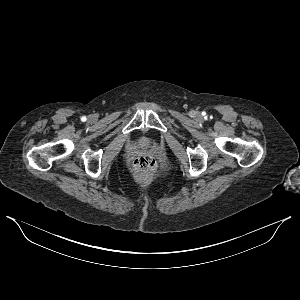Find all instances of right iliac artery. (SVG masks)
I'll return each instance as SVG.
<instances>
[{
  "label": "right iliac artery",
  "instance_id": "right-iliac-artery-1",
  "mask_svg": "<svg viewBox=\"0 0 300 300\" xmlns=\"http://www.w3.org/2000/svg\"><path fill=\"white\" fill-rule=\"evenodd\" d=\"M81 120H82V121H86V117H85V116L82 117Z\"/></svg>",
  "mask_w": 300,
  "mask_h": 300
}]
</instances>
